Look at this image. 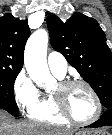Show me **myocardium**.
<instances>
[{"mask_svg":"<svg viewBox=\"0 0 112 135\" xmlns=\"http://www.w3.org/2000/svg\"><path fill=\"white\" fill-rule=\"evenodd\" d=\"M76 85L85 87L94 99L95 112H94L93 116L91 118H89L88 120L76 119L70 113V111L67 107L66 97H65L66 91L70 87L76 86ZM58 87H59V91L56 93H52L51 95H52L54 105H55L57 111L65 120H67L73 124H76V125L86 126V125L93 124L100 118L101 113H102V103L99 98V95L88 82L81 80V79H69V80H63V81L59 82Z\"/></svg>","mask_w":112,"mask_h":135,"instance_id":"myocardium-1","label":"myocardium"}]
</instances>
